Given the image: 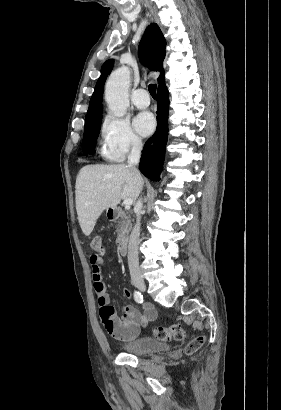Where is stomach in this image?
Wrapping results in <instances>:
<instances>
[{
  "label": "stomach",
  "mask_w": 281,
  "mask_h": 410,
  "mask_svg": "<svg viewBox=\"0 0 281 410\" xmlns=\"http://www.w3.org/2000/svg\"><path fill=\"white\" fill-rule=\"evenodd\" d=\"M107 212H111V213H112V212H113V210L108 208V209H107Z\"/></svg>",
  "instance_id": "0dacf381"
}]
</instances>
